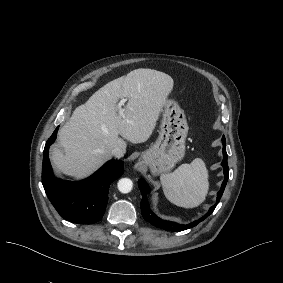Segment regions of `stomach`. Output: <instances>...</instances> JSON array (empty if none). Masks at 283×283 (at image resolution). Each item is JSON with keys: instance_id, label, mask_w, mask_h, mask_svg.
<instances>
[{"instance_id": "obj_1", "label": "stomach", "mask_w": 283, "mask_h": 283, "mask_svg": "<svg viewBox=\"0 0 283 283\" xmlns=\"http://www.w3.org/2000/svg\"><path fill=\"white\" fill-rule=\"evenodd\" d=\"M159 135L154 144L141 155L140 165L153 176L173 170L184 159L189 125L184 109L173 97H165Z\"/></svg>"}]
</instances>
